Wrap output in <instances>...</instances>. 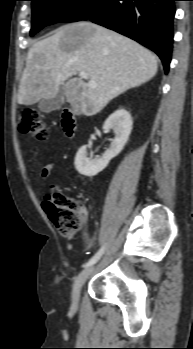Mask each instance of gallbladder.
<instances>
[{"label": "gallbladder", "instance_id": "obj_1", "mask_svg": "<svg viewBox=\"0 0 193 349\" xmlns=\"http://www.w3.org/2000/svg\"><path fill=\"white\" fill-rule=\"evenodd\" d=\"M65 101V87L61 86L58 94L51 99H42L38 108L44 113H50L55 110H59Z\"/></svg>", "mask_w": 193, "mask_h": 349}]
</instances>
